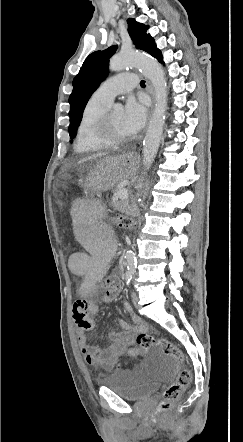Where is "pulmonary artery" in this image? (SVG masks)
I'll return each instance as SVG.
<instances>
[{"instance_id":"1","label":"pulmonary artery","mask_w":243,"mask_h":442,"mask_svg":"<svg viewBox=\"0 0 243 442\" xmlns=\"http://www.w3.org/2000/svg\"><path fill=\"white\" fill-rule=\"evenodd\" d=\"M137 83V75L135 73H119L102 83L93 93V97L99 101L111 104L115 96L132 90L136 87Z\"/></svg>"}]
</instances>
